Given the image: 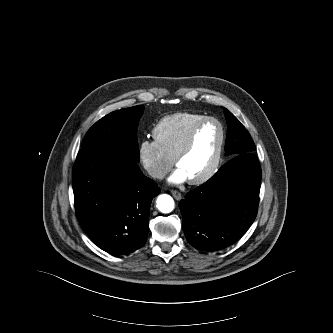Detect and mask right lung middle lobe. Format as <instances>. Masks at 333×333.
<instances>
[{"mask_svg":"<svg viewBox=\"0 0 333 333\" xmlns=\"http://www.w3.org/2000/svg\"><path fill=\"white\" fill-rule=\"evenodd\" d=\"M142 114L143 106L140 105L104 116L87 132L81 151L118 150L139 161L137 127Z\"/></svg>","mask_w":333,"mask_h":333,"instance_id":"1","label":"right lung middle lobe"}]
</instances>
